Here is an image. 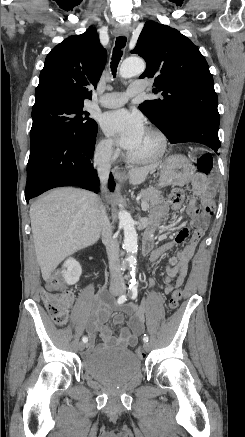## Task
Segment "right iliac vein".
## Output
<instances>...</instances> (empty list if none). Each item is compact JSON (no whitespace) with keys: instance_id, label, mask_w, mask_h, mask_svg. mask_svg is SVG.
Here are the masks:
<instances>
[{"instance_id":"right-iliac-vein-1","label":"right iliac vein","mask_w":245,"mask_h":437,"mask_svg":"<svg viewBox=\"0 0 245 437\" xmlns=\"http://www.w3.org/2000/svg\"><path fill=\"white\" fill-rule=\"evenodd\" d=\"M111 292H112V294H114V295H117V294L119 293V292L116 291V290H112ZM78 348H79L80 351H83L84 348H85V343H84V342H80L79 345H78Z\"/></svg>"}]
</instances>
